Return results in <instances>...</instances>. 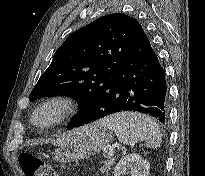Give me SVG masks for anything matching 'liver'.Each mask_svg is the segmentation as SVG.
Segmentation results:
<instances>
[{"label":"liver","mask_w":205,"mask_h":176,"mask_svg":"<svg viewBox=\"0 0 205 176\" xmlns=\"http://www.w3.org/2000/svg\"><path fill=\"white\" fill-rule=\"evenodd\" d=\"M86 130L87 126L69 131L68 133L62 135L59 139H57L55 144L61 147L69 145L80 139Z\"/></svg>","instance_id":"obj_1"}]
</instances>
